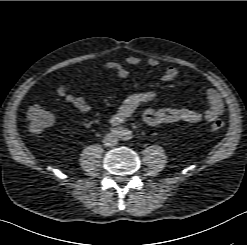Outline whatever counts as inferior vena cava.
Masks as SVG:
<instances>
[{
	"label": "inferior vena cava",
	"mask_w": 247,
	"mask_h": 245,
	"mask_svg": "<svg viewBox=\"0 0 247 245\" xmlns=\"http://www.w3.org/2000/svg\"><path fill=\"white\" fill-rule=\"evenodd\" d=\"M117 142H118L117 137L112 133H109L104 137V145L107 147H112L116 145Z\"/></svg>",
	"instance_id": "obj_1"
}]
</instances>
